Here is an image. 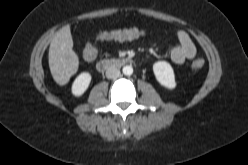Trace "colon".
<instances>
[{"label":"colon","instance_id":"colon-1","mask_svg":"<svg viewBox=\"0 0 248 165\" xmlns=\"http://www.w3.org/2000/svg\"><path fill=\"white\" fill-rule=\"evenodd\" d=\"M134 33L127 30H112V31H102L97 34V40H105L110 38H117V39H124L133 36ZM97 57V50L94 45H87L83 51V58L88 61L92 62ZM192 69L193 70H200L204 66V60L198 58L192 62Z\"/></svg>","mask_w":248,"mask_h":165}]
</instances>
